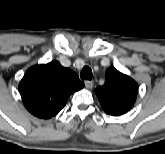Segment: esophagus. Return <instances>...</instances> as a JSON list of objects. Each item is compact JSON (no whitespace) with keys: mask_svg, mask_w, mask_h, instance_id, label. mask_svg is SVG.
<instances>
[{"mask_svg":"<svg viewBox=\"0 0 165 154\" xmlns=\"http://www.w3.org/2000/svg\"><path fill=\"white\" fill-rule=\"evenodd\" d=\"M84 83L87 89L93 88L94 83L92 81L86 80Z\"/></svg>","mask_w":165,"mask_h":154,"instance_id":"esophagus-1","label":"esophagus"}]
</instances>
